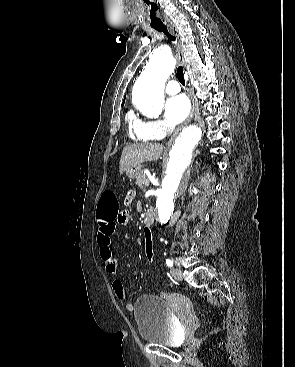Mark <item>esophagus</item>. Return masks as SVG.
<instances>
[{"instance_id": "obj_1", "label": "esophagus", "mask_w": 295, "mask_h": 367, "mask_svg": "<svg viewBox=\"0 0 295 367\" xmlns=\"http://www.w3.org/2000/svg\"><path fill=\"white\" fill-rule=\"evenodd\" d=\"M169 30L170 32L172 33V35L175 36L176 40H177V43H176V48H177V57H178V60L179 62L184 65L185 64V59H184V53H183V46H182V43H181V39H180V36H179V32L177 30V28L174 26V25H171L169 27ZM191 98H192V107H191V111H190V114L189 116L187 117V119L183 122V124H181L177 129L176 131L174 132V134L172 135V137L170 138V140L168 141V144H167V147L169 148L171 146V144L173 143L174 139L176 138V136L178 135V133L180 132V130L186 126L193 118L194 116V113L196 111V107H197V104H196V100L195 98L191 95Z\"/></svg>"}]
</instances>
